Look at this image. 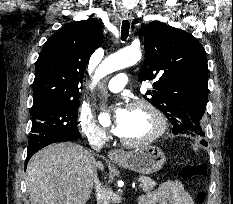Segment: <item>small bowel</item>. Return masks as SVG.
<instances>
[{
  "label": "small bowel",
  "instance_id": "c3829d8e",
  "mask_svg": "<svg viewBox=\"0 0 233 204\" xmlns=\"http://www.w3.org/2000/svg\"><path fill=\"white\" fill-rule=\"evenodd\" d=\"M139 204H194V201L180 181L168 180L141 196Z\"/></svg>",
  "mask_w": 233,
  "mask_h": 204
}]
</instances>
